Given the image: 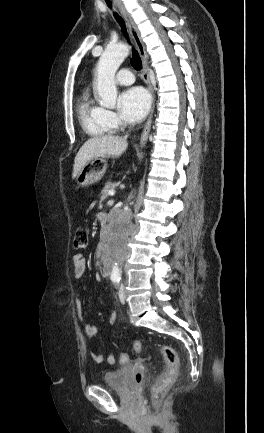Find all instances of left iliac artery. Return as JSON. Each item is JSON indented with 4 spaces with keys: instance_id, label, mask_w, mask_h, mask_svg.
Listing matches in <instances>:
<instances>
[{
    "instance_id": "44dca946",
    "label": "left iliac artery",
    "mask_w": 264,
    "mask_h": 433,
    "mask_svg": "<svg viewBox=\"0 0 264 433\" xmlns=\"http://www.w3.org/2000/svg\"><path fill=\"white\" fill-rule=\"evenodd\" d=\"M119 281H120V278H119V279H117V280H114V282H115L116 284H118V283H119Z\"/></svg>"
}]
</instances>
